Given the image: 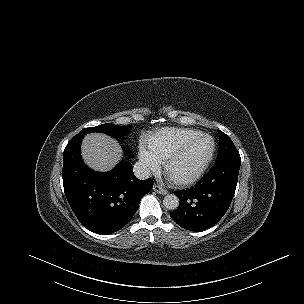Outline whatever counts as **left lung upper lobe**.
Returning <instances> with one entry per match:
<instances>
[{"instance_id": "obj_1", "label": "left lung upper lobe", "mask_w": 304, "mask_h": 304, "mask_svg": "<svg viewBox=\"0 0 304 304\" xmlns=\"http://www.w3.org/2000/svg\"><path fill=\"white\" fill-rule=\"evenodd\" d=\"M218 134L220 147L215 164L229 158L240 157L239 152L230 137L220 130H218Z\"/></svg>"}]
</instances>
